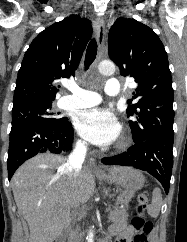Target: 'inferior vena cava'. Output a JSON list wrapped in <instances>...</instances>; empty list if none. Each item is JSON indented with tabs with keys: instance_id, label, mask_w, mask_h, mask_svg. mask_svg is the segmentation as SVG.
Instances as JSON below:
<instances>
[{
	"instance_id": "1",
	"label": "inferior vena cava",
	"mask_w": 187,
	"mask_h": 242,
	"mask_svg": "<svg viewBox=\"0 0 187 242\" xmlns=\"http://www.w3.org/2000/svg\"><path fill=\"white\" fill-rule=\"evenodd\" d=\"M86 150L87 146L84 142L79 141L76 144L66 163V171L69 176L75 178L80 174L82 163L84 162L86 156Z\"/></svg>"
}]
</instances>
